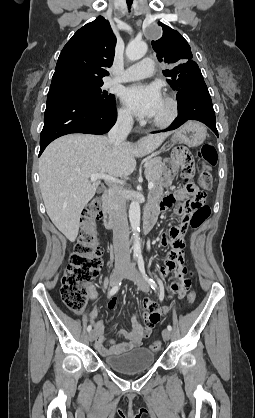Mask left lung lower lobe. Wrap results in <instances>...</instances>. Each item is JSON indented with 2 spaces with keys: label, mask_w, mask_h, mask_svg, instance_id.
<instances>
[{
  "label": "left lung lower lobe",
  "mask_w": 255,
  "mask_h": 418,
  "mask_svg": "<svg viewBox=\"0 0 255 418\" xmlns=\"http://www.w3.org/2000/svg\"><path fill=\"white\" fill-rule=\"evenodd\" d=\"M178 117L163 131L174 130L187 120H197L206 124L217 136L215 112L204 80L180 89L177 93Z\"/></svg>",
  "instance_id": "left-lung-lower-lobe-1"
}]
</instances>
